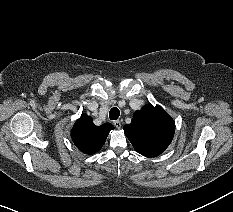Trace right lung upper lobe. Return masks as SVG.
Wrapping results in <instances>:
<instances>
[{
	"instance_id": "1",
	"label": "right lung upper lobe",
	"mask_w": 233,
	"mask_h": 212,
	"mask_svg": "<svg viewBox=\"0 0 233 212\" xmlns=\"http://www.w3.org/2000/svg\"><path fill=\"white\" fill-rule=\"evenodd\" d=\"M112 129V124L96 126L90 116L82 114L72 128L71 138L81 152L91 155L100 150Z\"/></svg>"
}]
</instances>
